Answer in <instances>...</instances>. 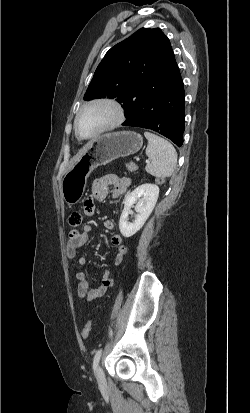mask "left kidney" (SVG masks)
Returning a JSON list of instances; mask_svg holds the SVG:
<instances>
[{
    "mask_svg": "<svg viewBox=\"0 0 250 413\" xmlns=\"http://www.w3.org/2000/svg\"><path fill=\"white\" fill-rule=\"evenodd\" d=\"M158 196L159 187L155 184H142L127 195L119 220V229L124 237L133 236L143 227L155 207ZM135 203L137 215L133 222H128L129 211Z\"/></svg>",
    "mask_w": 250,
    "mask_h": 413,
    "instance_id": "5707ae66",
    "label": "left kidney"
}]
</instances>
